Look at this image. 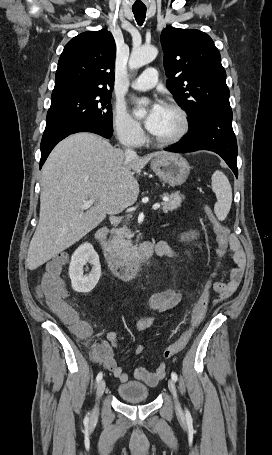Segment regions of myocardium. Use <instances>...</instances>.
Wrapping results in <instances>:
<instances>
[{
  "label": "myocardium",
  "mask_w": 272,
  "mask_h": 455,
  "mask_svg": "<svg viewBox=\"0 0 272 455\" xmlns=\"http://www.w3.org/2000/svg\"><path fill=\"white\" fill-rule=\"evenodd\" d=\"M165 107H168L175 111L180 120L179 130L169 138H158L154 135L151 136L152 141L158 146H171L180 142L188 133L190 129L189 116L186 110L177 102L167 101L164 104Z\"/></svg>",
  "instance_id": "obj_1"
}]
</instances>
